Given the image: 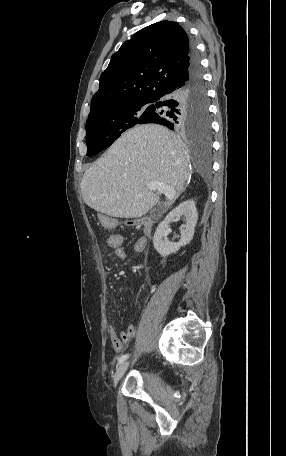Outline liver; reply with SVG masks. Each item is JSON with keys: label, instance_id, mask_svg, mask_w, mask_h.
I'll return each mask as SVG.
<instances>
[{"label": "liver", "instance_id": "6515ba94", "mask_svg": "<svg viewBox=\"0 0 286 456\" xmlns=\"http://www.w3.org/2000/svg\"><path fill=\"white\" fill-rule=\"evenodd\" d=\"M190 176L189 153L181 139L161 125H139L85 171L81 194L89 207L108 216L141 217L159 201L147 183L161 182L180 193Z\"/></svg>", "mask_w": 286, "mask_h": 456}]
</instances>
